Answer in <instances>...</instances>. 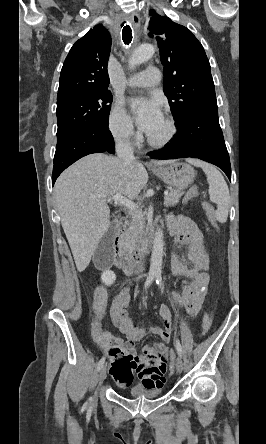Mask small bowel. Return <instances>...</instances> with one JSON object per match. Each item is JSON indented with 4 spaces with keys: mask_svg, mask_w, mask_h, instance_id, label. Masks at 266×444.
Wrapping results in <instances>:
<instances>
[{
    "mask_svg": "<svg viewBox=\"0 0 266 444\" xmlns=\"http://www.w3.org/2000/svg\"><path fill=\"white\" fill-rule=\"evenodd\" d=\"M167 224L175 236L176 254L172 269L175 275L186 278L181 293L172 292L169 296L173 308H183L191 317L196 316L207 292L209 277L208 258L202 235L195 223L187 217H168ZM130 300L127 289L120 292L111 306L114 325L126 336L123 341L105 332L102 319L106 312L107 290L103 286L96 288L92 300L93 320L90 332L93 340L107 350L111 360L110 374L119 388H129L134 374L144 388H162L165 384L167 361L171 358L166 346L172 331V313L167 306L159 308V315L165 323L164 328L146 330L134 325L129 318L126 306ZM158 335L164 343H157L143 349V354L136 352L135 346L146 334Z\"/></svg>",
    "mask_w": 266,
    "mask_h": 444,
    "instance_id": "c3829d8e",
    "label": "small bowel"
}]
</instances>
